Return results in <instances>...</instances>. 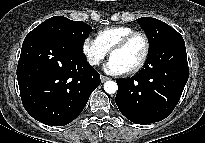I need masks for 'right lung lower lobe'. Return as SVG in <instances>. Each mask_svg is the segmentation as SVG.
<instances>
[{
	"label": "right lung lower lobe",
	"instance_id": "98d812e1",
	"mask_svg": "<svg viewBox=\"0 0 205 143\" xmlns=\"http://www.w3.org/2000/svg\"><path fill=\"white\" fill-rule=\"evenodd\" d=\"M22 103L36 120L64 126L84 109L100 75L83 51L44 32L25 37L17 66Z\"/></svg>",
	"mask_w": 205,
	"mask_h": 143
}]
</instances>
